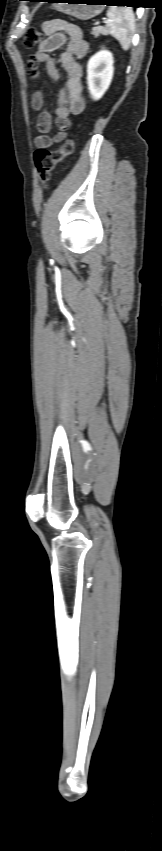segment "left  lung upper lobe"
I'll use <instances>...</instances> for the list:
<instances>
[{"mask_svg":"<svg viewBox=\"0 0 162 851\" xmlns=\"http://www.w3.org/2000/svg\"><path fill=\"white\" fill-rule=\"evenodd\" d=\"M27 1H36V0H27Z\"/></svg>","mask_w":162,"mask_h":851,"instance_id":"5c2ea615","label":"left lung upper lobe"}]
</instances>
